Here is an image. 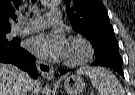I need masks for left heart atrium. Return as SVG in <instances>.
Listing matches in <instances>:
<instances>
[{
	"instance_id": "obj_1",
	"label": "left heart atrium",
	"mask_w": 135,
	"mask_h": 95,
	"mask_svg": "<svg viewBox=\"0 0 135 95\" xmlns=\"http://www.w3.org/2000/svg\"><path fill=\"white\" fill-rule=\"evenodd\" d=\"M26 45L38 57L49 60L63 59L68 51V42L59 32L41 33L30 38Z\"/></svg>"
}]
</instances>
